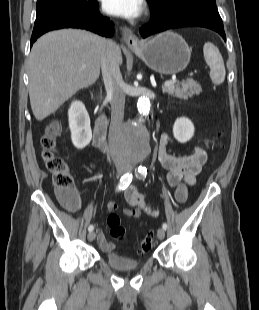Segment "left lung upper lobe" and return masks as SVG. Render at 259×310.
Instances as JSON below:
<instances>
[{"label":"left lung upper lobe","mask_w":259,"mask_h":310,"mask_svg":"<svg viewBox=\"0 0 259 310\" xmlns=\"http://www.w3.org/2000/svg\"><path fill=\"white\" fill-rule=\"evenodd\" d=\"M152 20L158 21L192 8L217 9L215 0H147Z\"/></svg>","instance_id":"1"}]
</instances>
